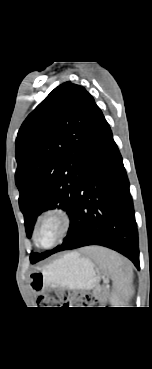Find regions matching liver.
<instances>
[{"mask_svg":"<svg viewBox=\"0 0 152 369\" xmlns=\"http://www.w3.org/2000/svg\"><path fill=\"white\" fill-rule=\"evenodd\" d=\"M96 250V248H90L89 251L90 252H94Z\"/></svg>","mask_w":152,"mask_h":369,"instance_id":"liver-1","label":"liver"}]
</instances>
